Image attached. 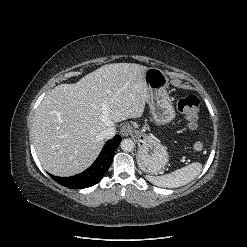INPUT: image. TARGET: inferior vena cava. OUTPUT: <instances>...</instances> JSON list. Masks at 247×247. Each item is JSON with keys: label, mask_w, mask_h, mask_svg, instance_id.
<instances>
[{"label": "inferior vena cava", "mask_w": 247, "mask_h": 247, "mask_svg": "<svg viewBox=\"0 0 247 247\" xmlns=\"http://www.w3.org/2000/svg\"><path fill=\"white\" fill-rule=\"evenodd\" d=\"M116 130L114 127H108L102 131L101 136L103 139H111L115 136Z\"/></svg>", "instance_id": "obj_1"}]
</instances>
